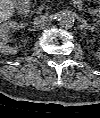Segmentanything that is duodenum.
Wrapping results in <instances>:
<instances>
[{
    "label": "duodenum",
    "mask_w": 100,
    "mask_h": 118,
    "mask_svg": "<svg viewBox=\"0 0 100 118\" xmlns=\"http://www.w3.org/2000/svg\"><path fill=\"white\" fill-rule=\"evenodd\" d=\"M71 4L74 6V7H79V0H71ZM28 8V3L26 2V0L22 1L20 6H19V10L21 13H25L26 10Z\"/></svg>",
    "instance_id": "1"
}]
</instances>
